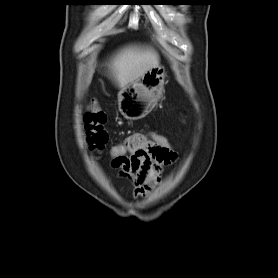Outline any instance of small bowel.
<instances>
[{
    "label": "small bowel",
    "mask_w": 278,
    "mask_h": 278,
    "mask_svg": "<svg viewBox=\"0 0 278 278\" xmlns=\"http://www.w3.org/2000/svg\"><path fill=\"white\" fill-rule=\"evenodd\" d=\"M124 146L126 154L112 159L111 165L121 178L132 183L135 197H145L159 183L164 168L177 159V154L163 150L142 133L128 136Z\"/></svg>",
    "instance_id": "c3829d8e"
}]
</instances>
